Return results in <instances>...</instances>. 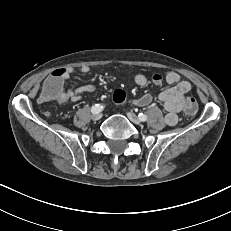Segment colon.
<instances>
[{
  "label": "colon",
  "instance_id": "5ec220e1",
  "mask_svg": "<svg viewBox=\"0 0 231 231\" xmlns=\"http://www.w3.org/2000/svg\"><path fill=\"white\" fill-rule=\"evenodd\" d=\"M64 72L61 69H56L48 75L41 86L38 95V100L41 103L56 100L60 95L59 82L63 79ZM114 101L122 103L125 100L124 91L118 89L113 94ZM182 111L185 117H193L198 110L197 100L193 96H186L183 98Z\"/></svg>",
  "mask_w": 231,
  "mask_h": 231
}]
</instances>
